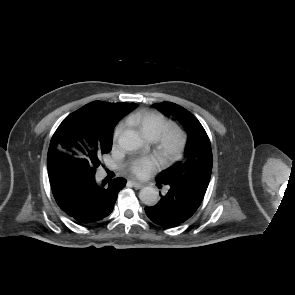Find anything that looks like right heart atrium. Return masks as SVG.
Wrapping results in <instances>:
<instances>
[{
	"mask_svg": "<svg viewBox=\"0 0 295 295\" xmlns=\"http://www.w3.org/2000/svg\"><path fill=\"white\" fill-rule=\"evenodd\" d=\"M123 126L119 125L116 127L115 131H114V140H117L120 133L122 132Z\"/></svg>",
	"mask_w": 295,
	"mask_h": 295,
	"instance_id": "obj_1",
	"label": "right heart atrium"
}]
</instances>
